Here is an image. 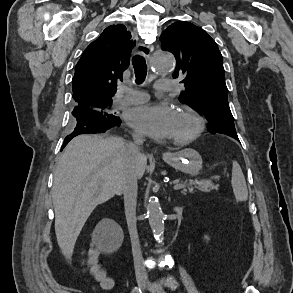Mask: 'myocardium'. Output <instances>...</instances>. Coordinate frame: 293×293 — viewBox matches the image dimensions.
Here are the masks:
<instances>
[{
  "instance_id": "myocardium-1",
  "label": "myocardium",
  "mask_w": 293,
  "mask_h": 293,
  "mask_svg": "<svg viewBox=\"0 0 293 293\" xmlns=\"http://www.w3.org/2000/svg\"><path fill=\"white\" fill-rule=\"evenodd\" d=\"M177 113L191 119L193 122V129L188 135L184 137L172 139V142L177 145L189 144L201 135L204 129V121L197 112L187 107L180 108Z\"/></svg>"
}]
</instances>
